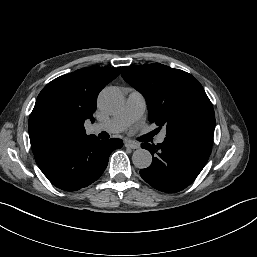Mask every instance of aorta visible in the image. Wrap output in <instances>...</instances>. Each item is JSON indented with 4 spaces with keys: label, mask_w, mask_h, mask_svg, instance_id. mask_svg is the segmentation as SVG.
<instances>
[{
    "label": "aorta",
    "mask_w": 257,
    "mask_h": 257,
    "mask_svg": "<svg viewBox=\"0 0 257 257\" xmlns=\"http://www.w3.org/2000/svg\"><path fill=\"white\" fill-rule=\"evenodd\" d=\"M98 103L106 112H115L123 106L124 98L119 89L108 87L101 91ZM132 162L139 169L148 168L152 163V155L146 149H137L133 152Z\"/></svg>",
    "instance_id": "obj_1"
}]
</instances>
